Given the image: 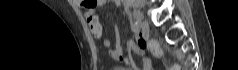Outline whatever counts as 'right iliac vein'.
I'll use <instances>...</instances> for the list:
<instances>
[{
  "mask_svg": "<svg viewBox=\"0 0 238 70\" xmlns=\"http://www.w3.org/2000/svg\"><path fill=\"white\" fill-rule=\"evenodd\" d=\"M133 17L134 19L137 21V23L140 25V26H145L146 22L144 20V16L142 14L141 11L139 10H134L133 11Z\"/></svg>",
  "mask_w": 238,
  "mask_h": 70,
  "instance_id": "obj_1",
  "label": "right iliac vein"
}]
</instances>
